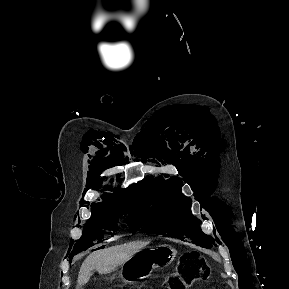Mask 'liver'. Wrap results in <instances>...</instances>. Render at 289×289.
I'll use <instances>...</instances> for the list:
<instances>
[{
	"label": "liver",
	"mask_w": 289,
	"mask_h": 289,
	"mask_svg": "<svg viewBox=\"0 0 289 289\" xmlns=\"http://www.w3.org/2000/svg\"><path fill=\"white\" fill-rule=\"evenodd\" d=\"M147 244V241L130 242L91 253L80 267L77 286L85 285L90 280L93 270H97L99 274H108L114 271L116 267L123 265Z\"/></svg>",
	"instance_id": "obj_1"
}]
</instances>
